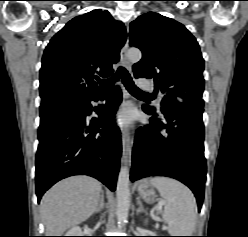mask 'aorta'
<instances>
[{
	"label": "aorta",
	"instance_id": "1",
	"mask_svg": "<svg viewBox=\"0 0 248 237\" xmlns=\"http://www.w3.org/2000/svg\"><path fill=\"white\" fill-rule=\"evenodd\" d=\"M142 57L141 51L138 49H130L127 52V58L132 62H138ZM117 209L116 216L118 222L123 224L128 217L130 207V188H129V170L127 166H122L117 179Z\"/></svg>",
	"mask_w": 248,
	"mask_h": 237
}]
</instances>
